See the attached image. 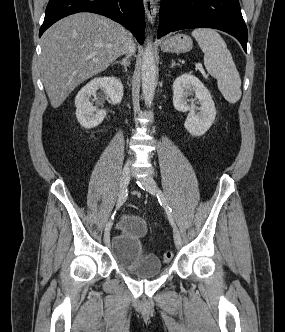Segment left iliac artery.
Instances as JSON below:
<instances>
[{
    "label": "left iliac artery",
    "instance_id": "1",
    "mask_svg": "<svg viewBox=\"0 0 285 332\" xmlns=\"http://www.w3.org/2000/svg\"><path fill=\"white\" fill-rule=\"evenodd\" d=\"M157 198H158V201L160 202V204L164 207V209H165V211H166V213L168 215V218H169V221H170L171 225L173 227H175V223H174L173 216H172V209L168 205V202H167V200H166V198L163 195V193H162L161 190H158Z\"/></svg>",
    "mask_w": 285,
    "mask_h": 332
}]
</instances>
